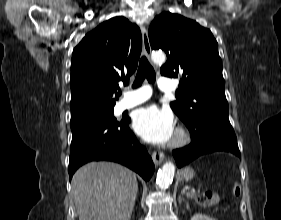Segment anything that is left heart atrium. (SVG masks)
<instances>
[{
    "label": "left heart atrium",
    "instance_id": "obj_1",
    "mask_svg": "<svg viewBox=\"0 0 281 220\" xmlns=\"http://www.w3.org/2000/svg\"><path fill=\"white\" fill-rule=\"evenodd\" d=\"M133 128L145 141L164 144L173 138L174 119L168 110L150 105L135 112Z\"/></svg>",
    "mask_w": 281,
    "mask_h": 220
}]
</instances>
